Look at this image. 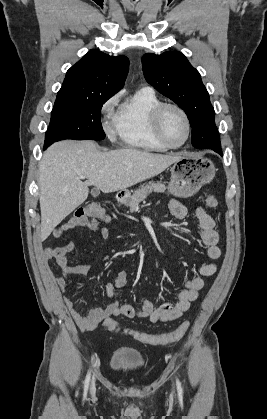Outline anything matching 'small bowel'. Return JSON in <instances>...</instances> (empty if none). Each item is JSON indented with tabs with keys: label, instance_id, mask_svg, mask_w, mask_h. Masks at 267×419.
Instances as JSON below:
<instances>
[{
	"label": "small bowel",
	"instance_id": "1",
	"mask_svg": "<svg viewBox=\"0 0 267 419\" xmlns=\"http://www.w3.org/2000/svg\"><path fill=\"white\" fill-rule=\"evenodd\" d=\"M171 214L177 219L187 217V207L178 200H172L169 203ZM201 232L200 238L206 247V255L210 260H217L221 256V250L218 246L219 235L215 230V222L213 218L202 206H198L195 210ZM77 228H86L89 231L98 234L102 239L109 238L107 228L100 225L98 220L89 218L73 217L66 223L61 225L55 232L54 236L58 239L63 238L68 232ZM73 249L71 242H65L54 248H46L43 251V259L46 263L54 262L61 270L54 280L61 292H65L67 288V277L73 274L88 275L90 268L82 265H70L67 255ZM217 271V265L214 262L205 263L199 266L198 276L189 279L185 288L180 292L176 303H164L159 307H155L154 303L149 300L143 301L140 310H136L128 304H120L115 298L117 291L122 290L127 282V272L119 271L114 279L105 286L106 294L112 301L105 307L91 309L87 314H82L75 306L73 300L64 297V302L69 309L74 321L83 331L94 329L98 324L110 316H125L128 318H147L151 323H165L173 321L181 317L190 307L191 302L195 301L200 290L205 286V277L214 275Z\"/></svg>",
	"mask_w": 267,
	"mask_h": 419
}]
</instances>
